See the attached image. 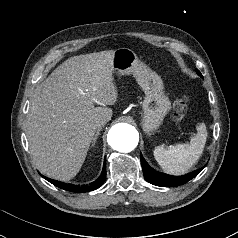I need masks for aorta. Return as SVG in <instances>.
<instances>
[{
  "instance_id": "obj_1",
  "label": "aorta",
  "mask_w": 238,
  "mask_h": 238,
  "mask_svg": "<svg viewBox=\"0 0 238 238\" xmlns=\"http://www.w3.org/2000/svg\"><path fill=\"white\" fill-rule=\"evenodd\" d=\"M107 140L114 150L130 152L137 146L139 135L135 127L126 123H118L110 129Z\"/></svg>"
}]
</instances>
